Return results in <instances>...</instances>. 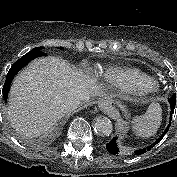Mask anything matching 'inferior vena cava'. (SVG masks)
Instances as JSON below:
<instances>
[{
	"label": "inferior vena cava",
	"mask_w": 177,
	"mask_h": 177,
	"mask_svg": "<svg viewBox=\"0 0 177 177\" xmlns=\"http://www.w3.org/2000/svg\"><path fill=\"white\" fill-rule=\"evenodd\" d=\"M83 102V99L77 97H69L62 101L60 108L64 113L76 110Z\"/></svg>",
	"instance_id": "1"
}]
</instances>
